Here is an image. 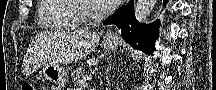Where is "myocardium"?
I'll return each instance as SVG.
<instances>
[{
    "instance_id": "1",
    "label": "myocardium",
    "mask_w": 216,
    "mask_h": 90,
    "mask_svg": "<svg viewBox=\"0 0 216 90\" xmlns=\"http://www.w3.org/2000/svg\"><path fill=\"white\" fill-rule=\"evenodd\" d=\"M79 6L81 15L89 21L88 28H95L98 18L108 13L111 8L102 7L96 1H75Z\"/></svg>"
}]
</instances>
